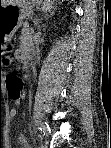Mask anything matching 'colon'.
Returning <instances> with one entry per match:
<instances>
[{"label": "colon", "mask_w": 111, "mask_h": 148, "mask_svg": "<svg viewBox=\"0 0 111 148\" xmlns=\"http://www.w3.org/2000/svg\"><path fill=\"white\" fill-rule=\"evenodd\" d=\"M12 61V58L7 57L3 60V64L7 65ZM2 79L4 81L7 96L11 101H17L21 97V79L20 77L13 71H3Z\"/></svg>", "instance_id": "1"}]
</instances>
